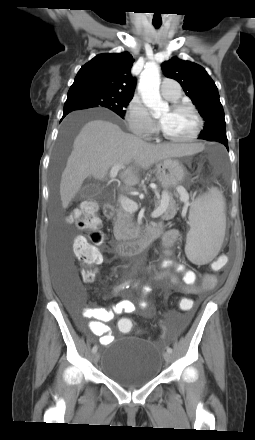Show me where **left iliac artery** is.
Instances as JSON below:
<instances>
[{"label": "left iliac artery", "mask_w": 255, "mask_h": 440, "mask_svg": "<svg viewBox=\"0 0 255 440\" xmlns=\"http://www.w3.org/2000/svg\"><path fill=\"white\" fill-rule=\"evenodd\" d=\"M167 352L172 353V348L168 347Z\"/></svg>", "instance_id": "left-iliac-artery-1"}]
</instances>
